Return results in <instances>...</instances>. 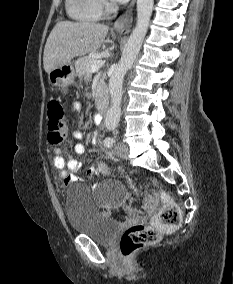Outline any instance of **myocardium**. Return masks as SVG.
I'll list each match as a JSON object with an SVG mask.
<instances>
[{"instance_id": "1", "label": "myocardium", "mask_w": 233, "mask_h": 284, "mask_svg": "<svg viewBox=\"0 0 233 284\" xmlns=\"http://www.w3.org/2000/svg\"><path fill=\"white\" fill-rule=\"evenodd\" d=\"M102 3V7L104 6L106 11H111L112 10V6L108 3L107 0H101Z\"/></svg>"}]
</instances>
